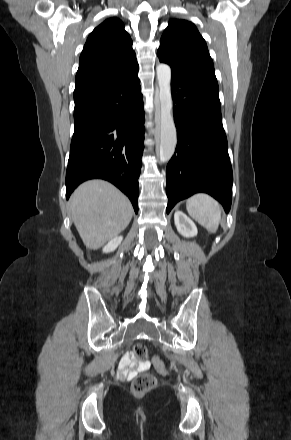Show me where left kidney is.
<instances>
[{
  "mask_svg": "<svg viewBox=\"0 0 291 440\" xmlns=\"http://www.w3.org/2000/svg\"><path fill=\"white\" fill-rule=\"evenodd\" d=\"M174 222L177 231L184 237H194L197 235V227L195 223L182 211L174 213Z\"/></svg>",
  "mask_w": 291,
  "mask_h": 440,
  "instance_id": "left-kidney-1",
  "label": "left kidney"
}]
</instances>
